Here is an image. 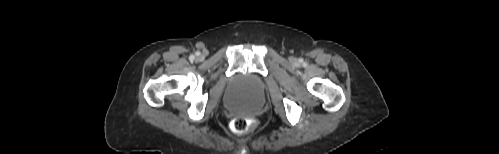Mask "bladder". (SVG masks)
Returning <instances> with one entry per match:
<instances>
[{
	"instance_id": "31cf9c89",
	"label": "bladder",
	"mask_w": 499,
	"mask_h": 154,
	"mask_svg": "<svg viewBox=\"0 0 499 154\" xmlns=\"http://www.w3.org/2000/svg\"><path fill=\"white\" fill-rule=\"evenodd\" d=\"M261 85L253 76H240L228 96L227 105L241 113H253L259 109Z\"/></svg>"
}]
</instances>
